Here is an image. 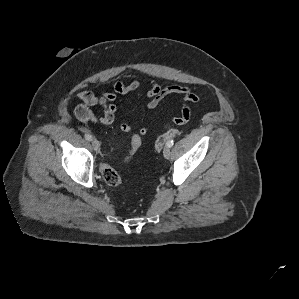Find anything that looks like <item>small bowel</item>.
Returning a JSON list of instances; mask_svg holds the SVG:
<instances>
[{"mask_svg":"<svg viewBox=\"0 0 299 299\" xmlns=\"http://www.w3.org/2000/svg\"><path fill=\"white\" fill-rule=\"evenodd\" d=\"M140 86V81L133 79L129 83L117 81L114 83L112 90H105L101 95H96L87 90L80 91L77 94L80 104L76 107L75 114L83 123L111 125L116 119L117 106L115 102L121 95L143 94L148 98L147 108L151 110L155 109L165 97L169 95H181L185 104L181 113L173 118V122L182 125L189 120L191 113L190 104L198 102V96L190 88L185 86L171 85L163 87L155 83L145 92L140 90ZM96 106L103 109L102 115L97 116L93 112L92 108ZM120 127L126 133L136 132L126 121H122ZM137 132L144 136L147 134V129L141 128Z\"/></svg>","mask_w":299,"mask_h":299,"instance_id":"obj_1","label":"small bowel"}]
</instances>
